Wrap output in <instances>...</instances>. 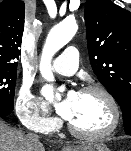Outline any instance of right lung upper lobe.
<instances>
[{"label": "right lung upper lobe", "instance_id": "cb5924a9", "mask_svg": "<svg viewBox=\"0 0 131 151\" xmlns=\"http://www.w3.org/2000/svg\"><path fill=\"white\" fill-rule=\"evenodd\" d=\"M25 4L19 0L0 3V67L17 68L24 30Z\"/></svg>", "mask_w": 131, "mask_h": 151}]
</instances>
